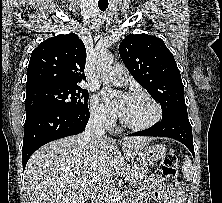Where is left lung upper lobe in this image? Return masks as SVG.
<instances>
[{
    "instance_id": "1",
    "label": "left lung upper lobe",
    "mask_w": 222,
    "mask_h": 203,
    "mask_svg": "<svg viewBox=\"0 0 222 203\" xmlns=\"http://www.w3.org/2000/svg\"><path fill=\"white\" fill-rule=\"evenodd\" d=\"M119 54L134 79L160 103L162 118L187 114L180 71L162 39L129 34L121 42Z\"/></svg>"
}]
</instances>
